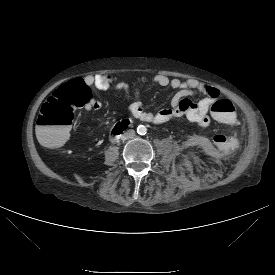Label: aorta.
<instances>
[{
  "label": "aorta",
  "instance_id": "762f6f07",
  "mask_svg": "<svg viewBox=\"0 0 275 275\" xmlns=\"http://www.w3.org/2000/svg\"><path fill=\"white\" fill-rule=\"evenodd\" d=\"M147 128L144 125H139L137 127V133L140 135L146 134Z\"/></svg>",
  "mask_w": 275,
  "mask_h": 275
}]
</instances>
